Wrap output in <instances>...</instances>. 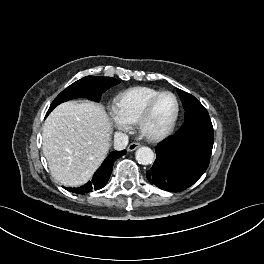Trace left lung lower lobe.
<instances>
[{"label": "left lung lower lobe", "instance_id": "1", "mask_svg": "<svg viewBox=\"0 0 264 264\" xmlns=\"http://www.w3.org/2000/svg\"><path fill=\"white\" fill-rule=\"evenodd\" d=\"M214 143L211 120L181 128L156 150V160L146 176L150 183L179 192L193 185L206 171Z\"/></svg>", "mask_w": 264, "mask_h": 264}]
</instances>
